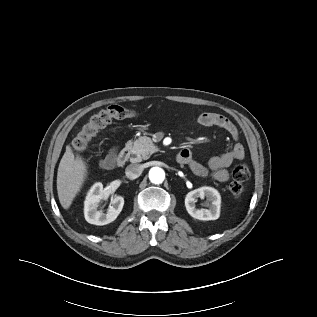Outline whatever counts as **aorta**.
I'll return each instance as SVG.
<instances>
[{"instance_id":"1","label":"aorta","mask_w":317,"mask_h":317,"mask_svg":"<svg viewBox=\"0 0 317 317\" xmlns=\"http://www.w3.org/2000/svg\"><path fill=\"white\" fill-rule=\"evenodd\" d=\"M149 179L154 184H161L165 179V172L160 167H152L149 171Z\"/></svg>"}]
</instances>
